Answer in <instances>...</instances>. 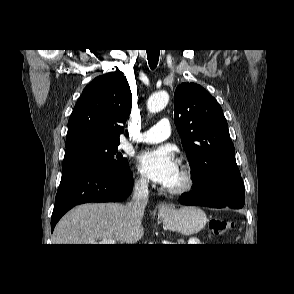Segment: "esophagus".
<instances>
[{"label":"esophagus","instance_id":"1","mask_svg":"<svg viewBox=\"0 0 294 294\" xmlns=\"http://www.w3.org/2000/svg\"><path fill=\"white\" fill-rule=\"evenodd\" d=\"M173 210V207L172 205L170 204H167V203H161L159 205V212L160 213H164V214H168V213H171Z\"/></svg>","mask_w":294,"mask_h":294}]
</instances>
